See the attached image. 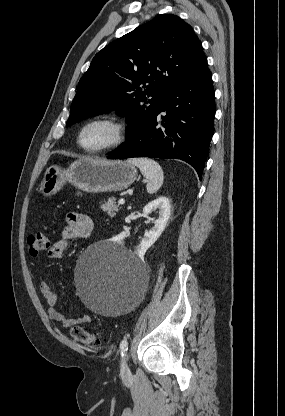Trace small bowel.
Here are the masks:
<instances>
[{"instance_id": "c3829d8e", "label": "small bowel", "mask_w": 285, "mask_h": 416, "mask_svg": "<svg viewBox=\"0 0 285 416\" xmlns=\"http://www.w3.org/2000/svg\"><path fill=\"white\" fill-rule=\"evenodd\" d=\"M92 230L93 221L89 216L77 212L69 213L67 215V225L62 230L60 239L48 248V257L52 259L61 258L70 241L86 239L91 235ZM40 291L48 304L47 316L50 321L60 323L65 328L90 322L91 319L87 314H82L77 318H67L59 312L56 309L58 295L46 281L40 283Z\"/></svg>"}]
</instances>
